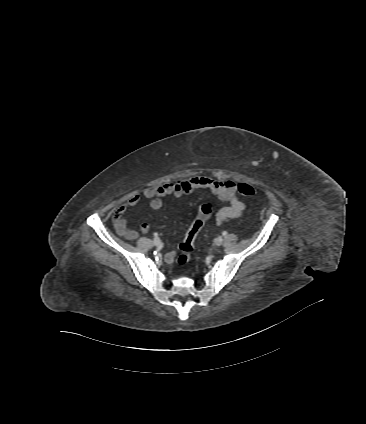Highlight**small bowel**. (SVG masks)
Wrapping results in <instances>:
<instances>
[{
    "mask_svg": "<svg viewBox=\"0 0 366 424\" xmlns=\"http://www.w3.org/2000/svg\"><path fill=\"white\" fill-rule=\"evenodd\" d=\"M237 184L229 179H217L208 176H193L180 179L175 182L165 183L163 185L150 186L143 190L142 194L133 193L117 208L113 216V225L116 232L128 239L138 238V232L129 227L124 215L131 207L136 206L142 197L149 199L150 208L154 211L161 209L163 199L169 195L182 197L190 194L197 189H206L218 199L229 202V206L218 209L216 213L217 224L227 223L240 217L245 211L246 205L238 198ZM140 231L143 234L148 233L149 225L142 223ZM175 258V252H170L165 256L167 263H172Z\"/></svg>",
    "mask_w": 366,
    "mask_h": 424,
    "instance_id": "1",
    "label": "small bowel"
}]
</instances>
